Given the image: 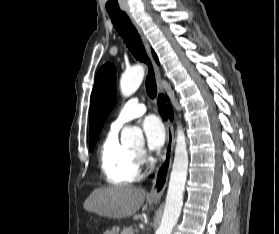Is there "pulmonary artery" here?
I'll return each mask as SVG.
<instances>
[{
  "label": "pulmonary artery",
  "instance_id": "pulmonary-artery-1",
  "mask_svg": "<svg viewBox=\"0 0 279 234\" xmlns=\"http://www.w3.org/2000/svg\"><path fill=\"white\" fill-rule=\"evenodd\" d=\"M145 111V104L140 102L137 97L129 99L121 108L116 119L113 121L111 129L114 131H118L124 124L136 117L141 116L145 113Z\"/></svg>",
  "mask_w": 279,
  "mask_h": 234
}]
</instances>
